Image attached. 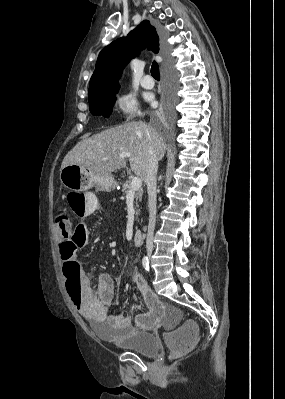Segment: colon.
I'll use <instances>...</instances> for the list:
<instances>
[{
    "instance_id": "obj_1",
    "label": "colon",
    "mask_w": 285,
    "mask_h": 399,
    "mask_svg": "<svg viewBox=\"0 0 285 399\" xmlns=\"http://www.w3.org/2000/svg\"><path fill=\"white\" fill-rule=\"evenodd\" d=\"M68 202L71 209L77 215H81L87 202L86 193H70L68 195ZM56 224L62 229H68V234L59 242L60 258L64 264L63 272L66 277L70 278V281L67 283V290L74 302L77 303L79 300V286L71 280V272L75 269L76 252L90 239V233L82 221L73 222L63 213L57 216ZM198 338V327L191 321L185 322L178 328L168 331L165 334L172 357H179L191 351Z\"/></svg>"
}]
</instances>
